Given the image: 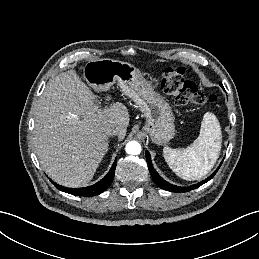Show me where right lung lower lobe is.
<instances>
[{"instance_id":"98d812e1","label":"right lung lower lobe","mask_w":259,"mask_h":259,"mask_svg":"<svg viewBox=\"0 0 259 259\" xmlns=\"http://www.w3.org/2000/svg\"><path fill=\"white\" fill-rule=\"evenodd\" d=\"M116 159L108 172V174L99 182H97L94 185H91L89 187H83V188H67L62 187L61 185H58L54 183L55 187L63 192L75 195V196H95L99 195L100 193L104 192L112 183L114 179L115 174V167H116Z\"/></svg>"}]
</instances>
